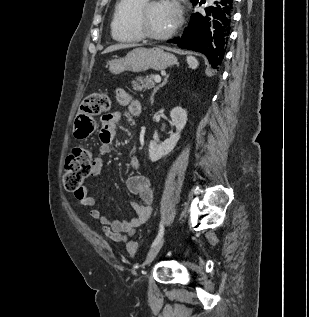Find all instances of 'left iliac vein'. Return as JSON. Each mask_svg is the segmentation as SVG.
<instances>
[{
	"label": "left iliac vein",
	"mask_w": 309,
	"mask_h": 317,
	"mask_svg": "<svg viewBox=\"0 0 309 317\" xmlns=\"http://www.w3.org/2000/svg\"><path fill=\"white\" fill-rule=\"evenodd\" d=\"M165 238H161L159 242H157L155 245L152 246V248L149 250L147 257L145 259V265L148 266L150 263L154 260L160 249L162 248L164 244Z\"/></svg>",
	"instance_id": "obj_1"
}]
</instances>
